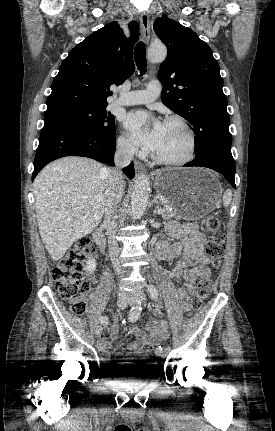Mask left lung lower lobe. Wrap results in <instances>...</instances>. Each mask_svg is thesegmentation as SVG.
<instances>
[{"label": "left lung lower lobe", "mask_w": 275, "mask_h": 431, "mask_svg": "<svg viewBox=\"0 0 275 431\" xmlns=\"http://www.w3.org/2000/svg\"><path fill=\"white\" fill-rule=\"evenodd\" d=\"M185 166H200L213 169L221 173L235 188V162L230 148H217L206 150L195 156V159Z\"/></svg>", "instance_id": "0a47b994"}]
</instances>
